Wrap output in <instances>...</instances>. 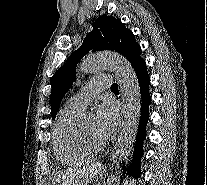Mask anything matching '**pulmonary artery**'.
<instances>
[{
  "mask_svg": "<svg viewBox=\"0 0 207 185\" xmlns=\"http://www.w3.org/2000/svg\"><path fill=\"white\" fill-rule=\"evenodd\" d=\"M112 82V77H96V81H88V86H81V91L66 103V109L80 112L100 91H105V86Z\"/></svg>",
  "mask_w": 207,
  "mask_h": 185,
  "instance_id": "1",
  "label": "pulmonary artery"
}]
</instances>
